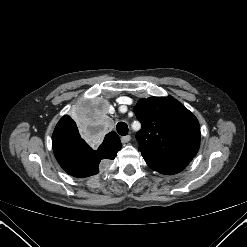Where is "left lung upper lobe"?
Masks as SVG:
<instances>
[{
	"label": "left lung upper lobe",
	"mask_w": 247,
	"mask_h": 247,
	"mask_svg": "<svg viewBox=\"0 0 247 247\" xmlns=\"http://www.w3.org/2000/svg\"><path fill=\"white\" fill-rule=\"evenodd\" d=\"M142 128L137 133L144 159L190 162L200 146L197 118L175 98L141 99L134 107Z\"/></svg>",
	"instance_id": "5c2ea615"
}]
</instances>
